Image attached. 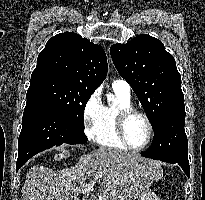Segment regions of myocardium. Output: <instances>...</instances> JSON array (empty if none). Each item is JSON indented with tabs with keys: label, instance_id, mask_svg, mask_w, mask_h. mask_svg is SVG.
<instances>
[{
	"label": "myocardium",
	"instance_id": "obj_1",
	"mask_svg": "<svg viewBox=\"0 0 205 200\" xmlns=\"http://www.w3.org/2000/svg\"><path fill=\"white\" fill-rule=\"evenodd\" d=\"M134 115H138V116L142 117L145 120V122L148 126L147 140L141 146H132L128 142L127 136H126V124H127L128 120ZM115 128H116V133H117L120 141L124 144V146L126 148H128L130 150L140 151V150L145 149L146 147L149 146V144L151 143L152 138H153V125H152V122H151L150 118L143 111H140V110L135 109L133 107L120 108L116 112V115H115Z\"/></svg>",
	"mask_w": 205,
	"mask_h": 200
}]
</instances>
